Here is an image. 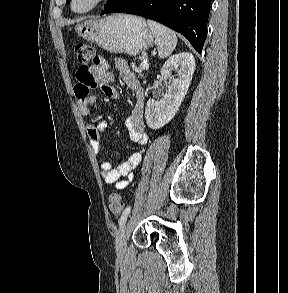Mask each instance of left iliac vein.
Wrapping results in <instances>:
<instances>
[{"label": "left iliac vein", "instance_id": "left-iliac-vein-1", "mask_svg": "<svg viewBox=\"0 0 288 293\" xmlns=\"http://www.w3.org/2000/svg\"><path fill=\"white\" fill-rule=\"evenodd\" d=\"M127 224H123L120 231L117 234L116 237V253L118 256H122L125 253L126 250V232H127Z\"/></svg>", "mask_w": 288, "mask_h": 293}]
</instances>
